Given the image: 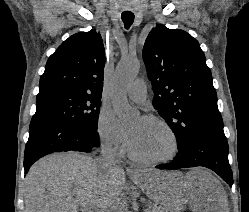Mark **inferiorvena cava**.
Segmentation results:
<instances>
[{
	"mask_svg": "<svg viewBox=\"0 0 249 212\" xmlns=\"http://www.w3.org/2000/svg\"><path fill=\"white\" fill-rule=\"evenodd\" d=\"M102 166H116L115 152L111 144H102L100 158H97Z\"/></svg>",
	"mask_w": 249,
	"mask_h": 212,
	"instance_id": "1",
	"label": "inferior vena cava"
}]
</instances>
